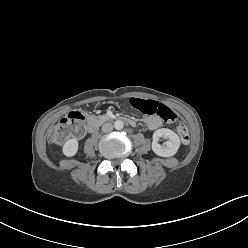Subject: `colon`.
<instances>
[{"label": "colon", "mask_w": 248, "mask_h": 248, "mask_svg": "<svg viewBox=\"0 0 248 248\" xmlns=\"http://www.w3.org/2000/svg\"><path fill=\"white\" fill-rule=\"evenodd\" d=\"M130 104L135 109L146 115H158L167 123L177 120L175 112L164 104L154 100L133 97ZM85 127V116L81 112H71L63 117L49 132V140L58 144L70 137L81 135ZM178 133L183 144L190 142V135L184 124L178 125Z\"/></svg>", "instance_id": "obj_1"}]
</instances>
